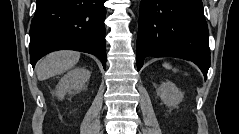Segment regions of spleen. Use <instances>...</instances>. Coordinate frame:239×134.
<instances>
[{"label": "spleen", "mask_w": 239, "mask_h": 134, "mask_svg": "<svg viewBox=\"0 0 239 134\" xmlns=\"http://www.w3.org/2000/svg\"><path fill=\"white\" fill-rule=\"evenodd\" d=\"M163 66L166 68V69H172V66L169 64V63H164ZM174 71H176L175 69H173Z\"/></svg>", "instance_id": "1"}]
</instances>
